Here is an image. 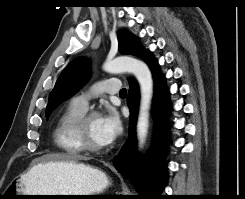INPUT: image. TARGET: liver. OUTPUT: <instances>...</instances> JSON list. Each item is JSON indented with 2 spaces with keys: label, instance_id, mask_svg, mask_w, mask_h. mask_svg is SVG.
<instances>
[{
  "label": "liver",
  "instance_id": "6515ba94",
  "mask_svg": "<svg viewBox=\"0 0 245 199\" xmlns=\"http://www.w3.org/2000/svg\"><path fill=\"white\" fill-rule=\"evenodd\" d=\"M87 157L80 156V155H71V154H52L48 155L42 158L41 162L37 165H34L30 170L29 173L25 174L26 178H31L33 175H35L36 171H33L38 166H54L57 164H64V163H74L78 162L79 160H86ZM51 167L49 168V171H51ZM54 172H57V169H54Z\"/></svg>",
  "mask_w": 245,
  "mask_h": 199
}]
</instances>
